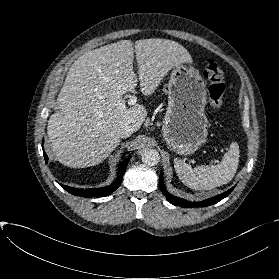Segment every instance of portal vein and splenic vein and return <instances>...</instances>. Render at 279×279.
<instances>
[{
  "instance_id": "obj_1",
  "label": "portal vein and splenic vein",
  "mask_w": 279,
  "mask_h": 279,
  "mask_svg": "<svg viewBox=\"0 0 279 279\" xmlns=\"http://www.w3.org/2000/svg\"><path fill=\"white\" fill-rule=\"evenodd\" d=\"M137 101V98L135 96H130V99L128 100L129 105H134Z\"/></svg>"
}]
</instances>
